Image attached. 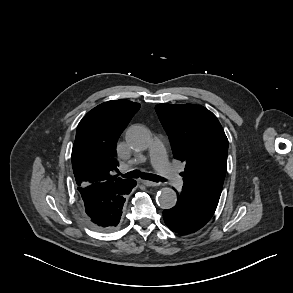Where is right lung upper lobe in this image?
Listing matches in <instances>:
<instances>
[{
  "instance_id": "right-lung-upper-lobe-1",
  "label": "right lung upper lobe",
  "mask_w": 293,
  "mask_h": 293,
  "mask_svg": "<svg viewBox=\"0 0 293 293\" xmlns=\"http://www.w3.org/2000/svg\"><path fill=\"white\" fill-rule=\"evenodd\" d=\"M139 103L115 100L102 103L80 121L72 149V167L79 187L98 184L120 185L117 177L116 143Z\"/></svg>"
}]
</instances>
